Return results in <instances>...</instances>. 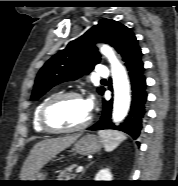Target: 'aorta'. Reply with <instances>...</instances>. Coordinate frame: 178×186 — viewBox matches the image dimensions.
<instances>
[{
    "label": "aorta",
    "instance_id": "aorta-1",
    "mask_svg": "<svg viewBox=\"0 0 178 186\" xmlns=\"http://www.w3.org/2000/svg\"><path fill=\"white\" fill-rule=\"evenodd\" d=\"M101 52L105 55L110 64L114 88L113 121H122L130 106V88L127 73L122 64L118 61L114 51L107 45L101 47Z\"/></svg>",
    "mask_w": 178,
    "mask_h": 186
}]
</instances>
